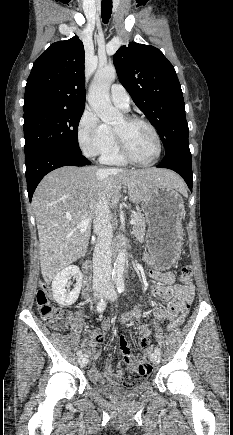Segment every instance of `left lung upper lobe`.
<instances>
[{"instance_id":"1","label":"left lung upper lobe","mask_w":233,"mask_h":435,"mask_svg":"<svg viewBox=\"0 0 233 435\" xmlns=\"http://www.w3.org/2000/svg\"><path fill=\"white\" fill-rule=\"evenodd\" d=\"M114 65L136 106L157 129L165 152L188 143L181 86L163 53L153 46L131 42L116 52Z\"/></svg>"}]
</instances>
